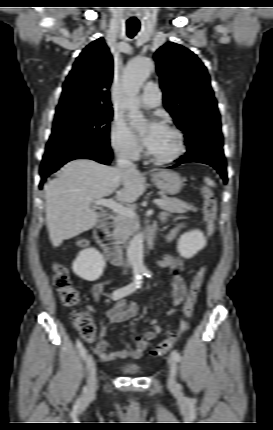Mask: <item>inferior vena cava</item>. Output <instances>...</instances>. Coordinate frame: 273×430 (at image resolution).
Segmentation results:
<instances>
[{
	"label": "inferior vena cava",
	"instance_id": "obj_1",
	"mask_svg": "<svg viewBox=\"0 0 273 430\" xmlns=\"http://www.w3.org/2000/svg\"><path fill=\"white\" fill-rule=\"evenodd\" d=\"M117 165L119 168L124 170H135L136 166L126 157L119 156L117 159Z\"/></svg>",
	"mask_w": 273,
	"mask_h": 430
}]
</instances>
